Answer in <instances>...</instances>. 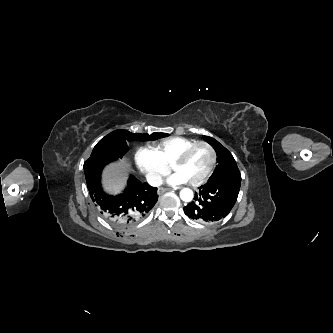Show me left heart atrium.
I'll use <instances>...</instances> for the list:
<instances>
[{"label":"left heart atrium","instance_id":"39dd6f15","mask_svg":"<svg viewBox=\"0 0 333 333\" xmlns=\"http://www.w3.org/2000/svg\"><path fill=\"white\" fill-rule=\"evenodd\" d=\"M187 182H188L187 178L179 172L173 173L168 178V183L171 184V185H174V186L185 184Z\"/></svg>","mask_w":333,"mask_h":333}]
</instances>
